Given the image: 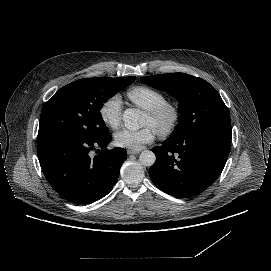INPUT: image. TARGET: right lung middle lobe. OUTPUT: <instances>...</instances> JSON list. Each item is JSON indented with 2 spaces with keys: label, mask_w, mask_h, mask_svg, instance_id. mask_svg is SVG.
I'll use <instances>...</instances> for the list:
<instances>
[{
  "label": "right lung middle lobe",
  "mask_w": 271,
  "mask_h": 271,
  "mask_svg": "<svg viewBox=\"0 0 271 271\" xmlns=\"http://www.w3.org/2000/svg\"><path fill=\"white\" fill-rule=\"evenodd\" d=\"M135 79L88 78L64 86L43 107L38 137L65 133L89 139L99 138L109 132L100 113L103 104Z\"/></svg>",
  "instance_id": "1"
}]
</instances>
